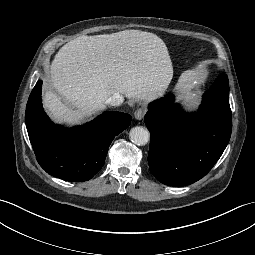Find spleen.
<instances>
[{"label":"spleen","mask_w":255,"mask_h":255,"mask_svg":"<svg viewBox=\"0 0 255 255\" xmlns=\"http://www.w3.org/2000/svg\"><path fill=\"white\" fill-rule=\"evenodd\" d=\"M207 73L202 70H187L182 73L177 84L179 99L188 105H197L199 91L197 88L205 82Z\"/></svg>","instance_id":"spleen-1"}]
</instances>
